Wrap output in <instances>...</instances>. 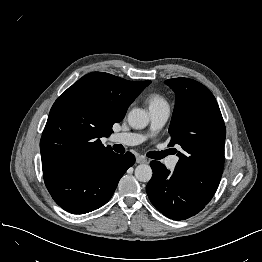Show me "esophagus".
I'll return each instance as SVG.
<instances>
[{"instance_id":"34e87169","label":"esophagus","mask_w":262,"mask_h":262,"mask_svg":"<svg viewBox=\"0 0 262 262\" xmlns=\"http://www.w3.org/2000/svg\"><path fill=\"white\" fill-rule=\"evenodd\" d=\"M136 163H138V164H144V163H148V160H147V158H146L145 156H143V155H138V156L136 157Z\"/></svg>"}]
</instances>
